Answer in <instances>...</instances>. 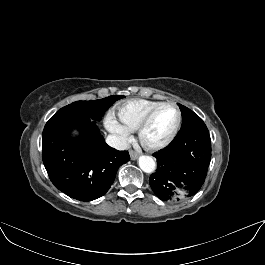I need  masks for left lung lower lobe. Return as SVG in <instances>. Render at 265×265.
Segmentation results:
<instances>
[{
  "label": "left lung lower lobe",
  "mask_w": 265,
  "mask_h": 265,
  "mask_svg": "<svg viewBox=\"0 0 265 265\" xmlns=\"http://www.w3.org/2000/svg\"><path fill=\"white\" fill-rule=\"evenodd\" d=\"M154 157L157 169L149 183L155 195L169 202L193 196L202 187L211 160V139L206 125L177 134Z\"/></svg>",
  "instance_id": "obj_1"
}]
</instances>
